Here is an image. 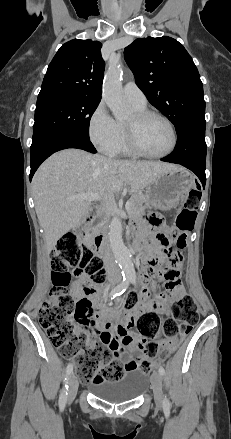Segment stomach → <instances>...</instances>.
Wrapping results in <instances>:
<instances>
[{
	"mask_svg": "<svg viewBox=\"0 0 231 439\" xmlns=\"http://www.w3.org/2000/svg\"><path fill=\"white\" fill-rule=\"evenodd\" d=\"M195 187L194 175L184 168H179L157 177L146 188L145 197L155 209L170 210Z\"/></svg>",
	"mask_w": 231,
	"mask_h": 439,
	"instance_id": "obj_1",
	"label": "stomach"
}]
</instances>
